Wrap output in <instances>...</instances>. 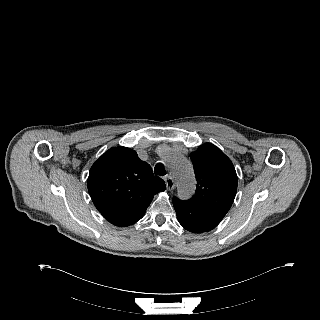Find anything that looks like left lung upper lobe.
I'll return each mask as SVG.
<instances>
[{
  "label": "left lung upper lobe",
  "instance_id": "left-lung-upper-lobe-1",
  "mask_svg": "<svg viewBox=\"0 0 320 320\" xmlns=\"http://www.w3.org/2000/svg\"><path fill=\"white\" fill-rule=\"evenodd\" d=\"M190 158L197 185L187 201L227 213L237 191V174L231 160L211 143L199 146Z\"/></svg>",
  "mask_w": 320,
  "mask_h": 320
}]
</instances>
